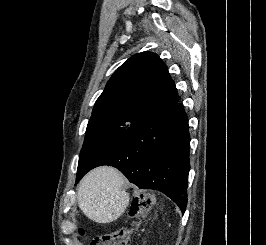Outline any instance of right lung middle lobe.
I'll use <instances>...</instances> for the list:
<instances>
[{"label":"right lung middle lobe","mask_w":266,"mask_h":245,"mask_svg":"<svg viewBox=\"0 0 266 245\" xmlns=\"http://www.w3.org/2000/svg\"><path fill=\"white\" fill-rule=\"evenodd\" d=\"M142 119L122 114L92 116L81 149L77 177L102 153L121 140Z\"/></svg>","instance_id":"dd1d6c3e"}]
</instances>
